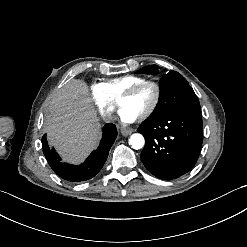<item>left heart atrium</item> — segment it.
I'll use <instances>...</instances> for the list:
<instances>
[{
	"label": "left heart atrium",
	"instance_id": "obj_1",
	"mask_svg": "<svg viewBox=\"0 0 247 247\" xmlns=\"http://www.w3.org/2000/svg\"><path fill=\"white\" fill-rule=\"evenodd\" d=\"M141 116V113L138 109L127 106L119 114V119L123 124H130L137 121Z\"/></svg>",
	"mask_w": 247,
	"mask_h": 247
}]
</instances>
